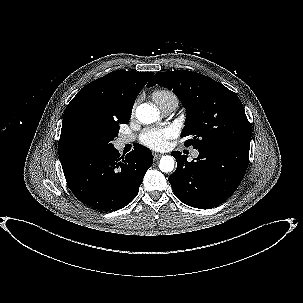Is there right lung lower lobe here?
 Wrapping results in <instances>:
<instances>
[{
	"label": "right lung lower lobe",
	"mask_w": 303,
	"mask_h": 303,
	"mask_svg": "<svg viewBox=\"0 0 303 303\" xmlns=\"http://www.w3.org/2000/svg\"><path fill=\"white\" fill-rule=\"evenodd\" d=\"M153 163L149 149L136 145L127 155L112 147L61 163L75 197L99 211H116L136 196L146 171Z\"/></svg>",
	"instance_id": "obj_1"
}]
</instances>
